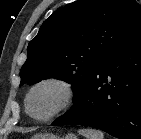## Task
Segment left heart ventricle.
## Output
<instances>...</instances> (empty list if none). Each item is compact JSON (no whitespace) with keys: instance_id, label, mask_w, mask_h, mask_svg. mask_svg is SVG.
<instances>
[{"instance_id":"1","label":"left heart ventricle","mask_w":141,"mask_h":139,"mask_svg":"<svg viewBox=\"0 0 141 139\" xmlns=\"http://www.w3.org/2000/svg\"><path fill=\"white\" fill-rule=\"evenodd\" d=\"M62 91L54 85H44L34 91L29 107L33 115L44 117L53 112L62 101Z\"/></svg>"}]
</instances>
